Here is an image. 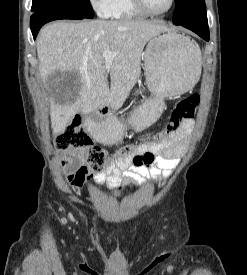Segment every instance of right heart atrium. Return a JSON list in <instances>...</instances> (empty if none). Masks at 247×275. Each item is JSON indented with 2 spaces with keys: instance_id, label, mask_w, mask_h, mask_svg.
I'll return each mask as SVG.
<instances>
[{
  "instance_id": "right-heart-atrium-1",
  "label": "right heart atrium",
  "mask_w": 247,
  "mask_h": 275,
  "mask_svg": "<svg viewBox=\"0 0 247 275\" xmlns=\"http://www.w3.org/2000/svg\"><path fill=\"white\" fill-rule=\"evenodd\" d=\"M113 0H90L93 9L102 17H109Z\"/></svg>"
}]
</instances>
